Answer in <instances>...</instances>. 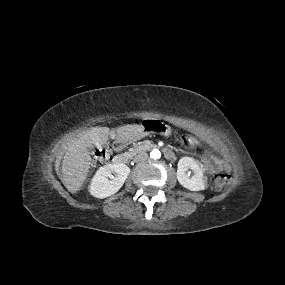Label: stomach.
I'll use <instances>...</instances> for the list:
<instances>
[{"instance_id": "1", "label": "stomach", "mask_w": 285, "mask_h": 285, "mask_svg": "<svg viewBox=\"0 0 285 285\" xmlns=\"http://www.w3.org/2000/svg\"><path fill=\"white\" fill-rule=\"evenodd\" d=\"M142 127V131L140 133H138L136 136H134L133 140L139 139L141 137H144L150 133H155L156 131V127L158 128V130L164 134L165 132H169L170 129L167 125H164L163 123L159 122V121H146L144 123L141 124Z\"/></svg>"}]
</instances>
